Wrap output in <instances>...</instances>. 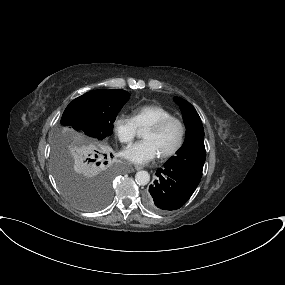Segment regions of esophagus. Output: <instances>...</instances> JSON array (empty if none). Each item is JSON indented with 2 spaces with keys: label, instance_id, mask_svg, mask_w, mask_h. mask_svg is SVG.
I'll return each mask as SVG.
<instances>
[{
  "label": "esophagus",
  "instance_id": "obj_1",
  "mask_svg": "<svg viewBox=\"0 0 285 285\" xmlns=\"http://www.w3.org/2000/svg\"><path fill=\"white\" fill-rule=\"evenodd\" d=\"M141 169H142V167L131 168V169H130V172H134L135 170L139 171V170H141Z\"/></svg>",
  "mask_w": 285,
  "mask_h": 285
}]
</instances>
